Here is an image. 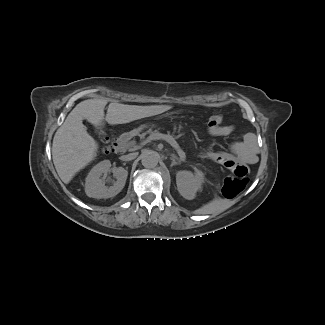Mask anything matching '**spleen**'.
Instances as JSON below:
<instances>
[{
  "label": "spleen",
  "instance_id": "1",
  "mask_svg": "<svg viewBox=\"0 0 325 325\" xmlns=\"http://www.w3.org/2000/svg\"><path fill=\"white\" fill-rule=\"evenodd\" d=\"M227 201L220 198L215 197L209 203L203 205L201 208L194 211L195 214H213V213H220L227 208Z\"/></svg>",
  "mask_w": 325,
  "mask_h": 325
}]
</instances>
